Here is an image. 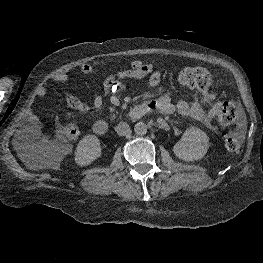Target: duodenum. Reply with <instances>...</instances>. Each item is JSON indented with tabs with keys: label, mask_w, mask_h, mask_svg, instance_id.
<instances>
[{
	"label": "duodenum",
	"mask_w": 263,
	"mask_h": 263,
	"mask_svg": "<svg viewBox=\"0 0 263 263\" xmlns=\"http://www.w3.org/2000/svg\"><path fill=\"white\" fill-rule=\"evenodd\" d=\"M150 111H151L150 107L147 104L142 103L135 106L129 112V117L131 119H139ZM93 131L98 135H105L109 131V125L104 120H97L93 124Z\"/></svg>",
	"instance_id": "1"
}]
</instances>
